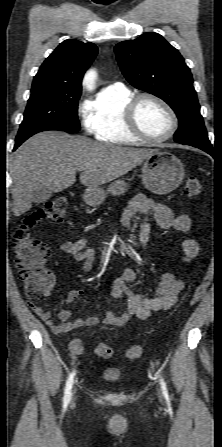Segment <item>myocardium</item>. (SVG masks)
<instances>
[{"label": "myocardium", "mask_w": 222, "mask_h": 447, "mask_svg": "<svg viewBox=\"0 0 222 447\" xmlns=\"http://www.w3.org/2000/svg\"><path fill=\"white\" fill-rule=\"evenodd\" d=\"M144 100H151L158 105H160L169 115L171 120V127L170 130L166 135L160 138H154L149 136L146 132L143 131V129L140 127L137 119V112L140 104ZM124 120L126 123V126L128 129L137 137L141 138L142 140L149 142V143H162L170 138L173 137V135L176 133L178 129V118L173 110V108L169 105L168 102H166L163 98L152 94V93H140L137 95H134L127 103L124 111Z\"/></svg>", "instance_id": "f54148a6"}]
</instances>
